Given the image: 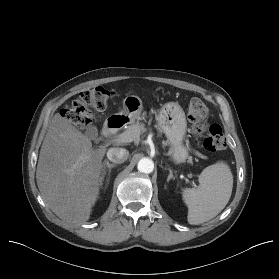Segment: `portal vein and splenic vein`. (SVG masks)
Wrapping results in <instances>:
<instances>
[{
    "label": "portal vein and splenic vein",
    "mask_w": 279,
    "mask_h": 279,
    "mask_svg": "<svg viewBox=\"0 0 279 279\" xmlns=\"http://www.w3.org/2000/svg\"><path fill=\"white\" fill-rule=\"evenodd\" d=\"M118 143H127L134 141V137L129 132H123L114 139ZM195 155L202 158L201 154L198 151H195Z\"/></svg>",
    "instance_id": "1"
}]
</instances>
